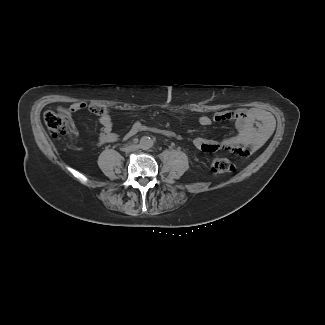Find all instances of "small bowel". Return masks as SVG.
I'll use <instances>...</instances> for the list:
<instances>
[{"mask_svg":"<svg viewBox=\"0 0 325 325\" xmlns=\"http://www.w3.org/2000/svg\"><path fill=\"white\" fill-rule=\"evenodd\" d=\"M69 118L80 111L89 110L98 116L101 124V133L95 145L100 146L105 143L118 142L121 139L129 140L138 133L145 130V126L139 122H134L129 130L121 138L114 131V124L109 113V109L101 105H88L84 102L71 104L67 108L61 109ZM173 113L182 115L184 112L180 109H172ZM231 121L236 125V134L221 140H213L204 137H195L191 140L192 144L203 152L229 151L241 156L249 155L258 150L270 137L274 120L270 113L259 108L235 109L223 111L215 114L213 117L202 115L198 122L201 126H209L212 122ZM74 133L75 130L73 129ZM170 137L178 140L183 139L180 135L170 133Z\"/></svg>","mask_w":325,"mask_h":325,"instance_id":"obj_1","label":"small bowel"}]
</instances>
